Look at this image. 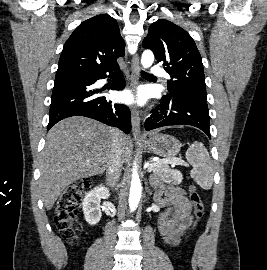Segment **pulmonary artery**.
Instances as JSON below:
<instances>
[{"label":"pulmonary artery","mask_w":267,"mask_h":270,"mask_svg":"<svg viewBox=\"0 0 267 270\" xmlns=\"http://www.w3.org/2000/svg\"><path fill=\"white\" fill-rule=\"evenodd\" d=\"M151 73L154 75H163V70L157 66L152 67Z\"/></svg>","instance_id":"pulmonary-artery-1"}]
</instances>
